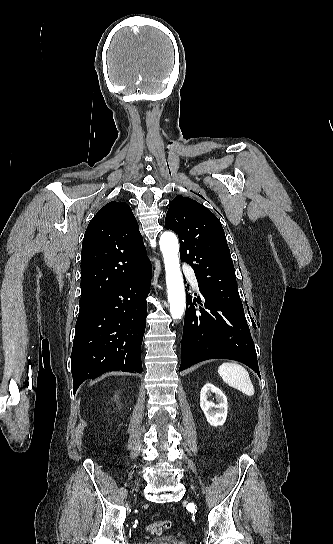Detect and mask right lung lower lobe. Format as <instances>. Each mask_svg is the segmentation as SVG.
<instances>
[{"label":"right lung lower lobe","instance_id":"1","mask_svg":"<svg viewBox=\"0 0 333 544\" xmlns=\"http://www.w3.org/2000/svg\"><path fill=\"white\" fill-rule=\"evenodd\" d=\"M151 263L113 291L80 308L71 354L73 391L107 371L142 372Z\"/></svg>","mask_w":333,"mask_h":544}]
</instances>
